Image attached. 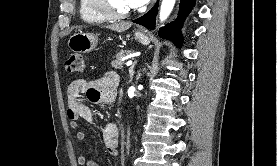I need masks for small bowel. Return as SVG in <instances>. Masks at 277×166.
I'll return each instance as SVG.
<instances>
[{"label": "small bowel", "mask_w": 277, "mask_h": 166, "mask_svg": "<svg viewBox=\"0 0 277 166\" xmlns=\"http://www.w3.org/2000/svg\"><path fill=\"white\" fill-rule=\"evenodd\" d=\"M119 77L113 72H107L96 80L87 81L76 79L68 87V110L67 116L70 127L78 129L80 120L98 124L91 109L92 105H110L117 96ZM103 141L106 150L113 156H118L120 133L117 125L113 122L101 123ZM84 131L76 132V139L80 142L86 140ZM80 166H99L94 160L89 159L84 152L78 155Z\"/></svg>", "instance_id": "obj_1"}]
</instances>
